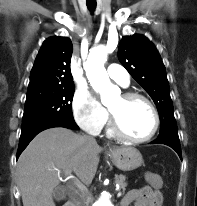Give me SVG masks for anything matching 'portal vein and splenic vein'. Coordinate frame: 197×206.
I'll use <instances>...</instances> for the list:
<instances>
[{
    "mask_svg": "<svg viewBox=\"0 0 197 206\" xmlns=\"http://www.w3.org/2000/svg\"><path fill=\"white\" fill-rule=\"evenodd\" d=\"M66 175H67L68 178H72L74 184H75L79 189H83V188H84V186L80 183V181H79L78 179L74 178V177L71 175L70 172H66ZM121 196H122V192L119 191V192L117 193V197H121Z\"/></svg>",
    "mask_w": 197,
    "mask_h": 206,
    "instance_id": "portal-vein-and-splenic-vein-1",
    "label": "portal vein and splenic vein"
}]
</instances>
